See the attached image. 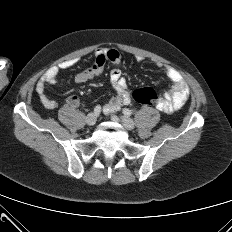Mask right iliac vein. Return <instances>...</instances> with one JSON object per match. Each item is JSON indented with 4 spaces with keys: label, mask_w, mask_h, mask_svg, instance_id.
Instances as JSON below:
<instances>
[{
    "label": "right iliac vein",
    "mask_w": 232,
    "mask_h": 232,
    "mask_svg": "<svg viewBox=\"0 0 232 232\" xmlns=\"http://www.w3.org/2000/svg\"><path fill=\"white\" fill-rule=\"evenodd\" d=\"M97 121V116L94 113H90L86 117V123L89 126H93Z\"/></svg>",
    "instance_id": "right-iliac-vein-1"
}]
</instances>
